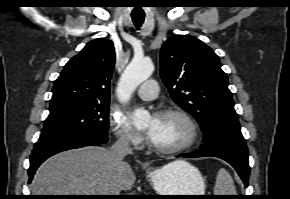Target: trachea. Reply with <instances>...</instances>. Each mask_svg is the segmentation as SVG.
<instances>
[{
  "instance_id": "obj_1",
  "label": "trachea",
  "mask_w": 290,
  "mask_h": 199,
  "mask_svg": "<svg viewBox=\"0 0 290 199\" xmlns=\"http://www.w3.org/2000/svg\"><path fill=\"white\" fill-rule=\"evenodd\" d=\"M132 20L137 28H140L144 22V15H132Z\"/></svg>"
}]
</instances>
